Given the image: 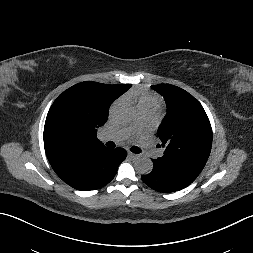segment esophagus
<instances>
[{
	"mask_svg": "<svg viewBox=\"0 0 253 253\" xmlns=\"http://www.w3.org/2000/svg\"><path fill=\"white\" fill-rule=\"evenodd\" d=\"M128 156L131 157L132 159H138L140 156L138 154L128 152Z\"/></svg>",
	"mask_w": 253,
	"mask_h": 253,
	"instance_id": "1",
	"label": "esophagus"
}]
</instances>
